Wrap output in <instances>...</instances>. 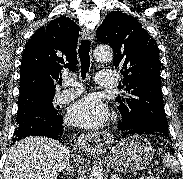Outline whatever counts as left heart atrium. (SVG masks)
Here are the masks:
<instances>
[{
	"label": "left heart atrium",
	"mask_w": 183,
	"mask_h": 179,
	"mask_svg": "<svg viewBox=\"0 0 183 179\" xmlns=\"http://www.w3.org/2000/svg\"><path fill=\"white\" fill-rule=\"evenodd\" d=\"M108 118L104 103L93 95H87L74 103L68 111V120L73 125L94 129L102 126Z\"/></svg>",
	"instance_id": "obj_1"
}]
</instances>
